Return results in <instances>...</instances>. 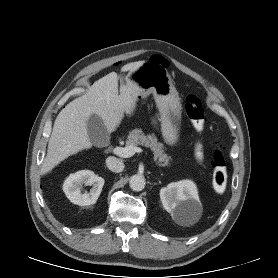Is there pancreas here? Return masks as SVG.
<instances>
[{
	"label": "pancreas",
	"instance_id": "1",
	"mask_svg": "<svg viewBox=\"0 0 278 278\" xmlns=\"http://www.w3.org/2000/svg\"><path fill=\"white\" fill-rule=\"evenodd\" d=\"M126 145L134 147L142 145L149 147L153 151L159 166H167L171 159L165 153L163 144L157 141L156 136L154 134L145 135L141 129H134L129 133Z\"/></svg>",
	"mask_w": 278,
	"mask_h": 278
}]
</instances>
